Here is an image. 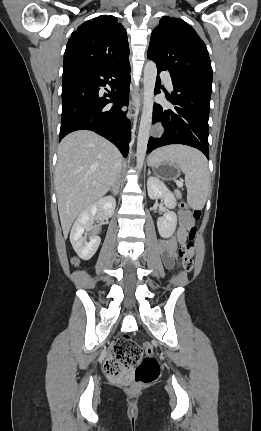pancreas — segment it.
Listing matches in <instances>:
<instances>
[{"mask_svg":"<svg viewBox=\"0 0 261 431\" xmlns=\"http://www.w3.org/2000/svg\"><path fill=\"white\" fill-rule=\"evenodd\" d=\"M175 195H176V197H177L178 199H181V193H180V192L176 191V192H175Z\"/></svg>","mask_w":261,"mask_h":431,"instance_id":"obj_1","label":"pancreas"}]
</instances>
